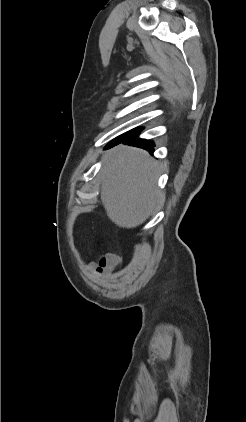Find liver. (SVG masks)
Returning <instances> with one entry per match:
<instances>
[{
	"label": "liver",
	"mask_w": 246,
	"mask_h": 422,
	"mask_svg": "<svg viewBox=\"0 0 246 422\" xmlns=\"http://www.w3.org/2000/svg\"><path fill=\"white\" fill-rule=\"evenodd\" d=\"M101 170V201L109 219L122 228L143 224L162 193L156 187L160 164L141 149L120 145L110 150Z\"/></svg>",
	"instance_id": "1"
}]
</instances>
